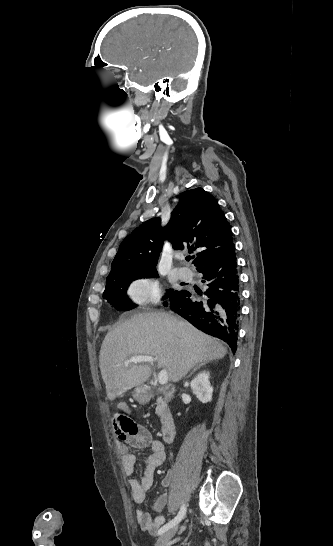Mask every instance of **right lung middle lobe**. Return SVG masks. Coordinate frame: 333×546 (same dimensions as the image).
<instances>
[{
  "label": "right lung middle lobe",
  "instance_id": "obj_1",
  "mask_svg": "<svg viewBox=\"0 0 333 546\" xmlns=\"http://www.w3.org/2000/svg\"><path fill=\"white\" fill-rule=\"evenodd\" d=\"M158 277L156 270H115L110 271L106 279V288L103 297L107 299L114 308L119 311H127L134 308L126 296L129 284L140 278ZM175 291L170 289L166 292L164 299L169 298Z\"/></svg>",
  "mask_w": 333,
  "mask_h": 546
}]
</instances>
